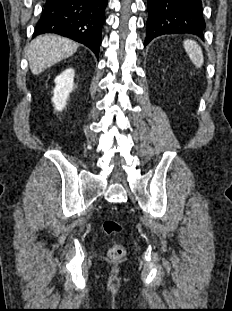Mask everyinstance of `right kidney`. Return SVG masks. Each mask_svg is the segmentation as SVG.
I'll use <instances>...</instances> for the list:
<instances>
[{
    "mask_svg": "<svg viewBox=\"0 0 232 311\" xmlns=\"http://www.w3.org/2000/svg\"><path fill=\"white\" fill-rule=\"evenodd\" d=\"M74 75V69L69 68L56 77V86L53 90L54 95L52 98L56 111H62L66 107L69 94L74 89Z\"/></svg>",
    "mask_w": 232,
    "mask_h": 311,
    "instance_id": "right-kidney-1",
    "label": "right kidney"
}]
</instances>
